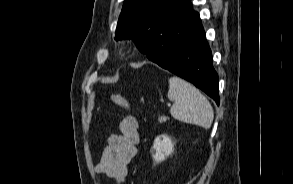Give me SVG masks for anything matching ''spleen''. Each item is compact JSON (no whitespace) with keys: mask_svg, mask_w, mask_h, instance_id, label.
I'll return each instance as SVG.
<instances>
[{"mask_svg":"<svg viewBox=\"0 0 293 184\" xmlns=\"http://www.w3.org/2000/svg\"><path fill=\"white\" fill-rule=\"evenodd\" d=\"M168 99L173 102L170 114L173 118L208 129L214 112L207 98L189 82L173 76L169 78Z\"/></svg>","mask_w":293,"mask_h":184,"instance_id":"1","label":"spleen"}]
</instances>
